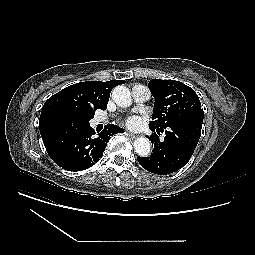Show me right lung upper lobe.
<instances>
[{
  "mask_svg": "<svg viewBox=\"0 0 255 255\" xmlns=\"http://www.w3.org/2000/svg\"><path fill=\"white\" fill-rule=\"evenodd\" d=\"M123 83V80L86 81L64 88L45 102L40 115V128L50 125L59 116L82 118L94 115L97 109L105 110L111 90Z\"/></svg>",
  "mask_w": 255,
  "mask_h": 255,
  "instance_id": "right-lung-upper-lobe-1",
  "label": "right lung upper lobe"
}]
</instances>
